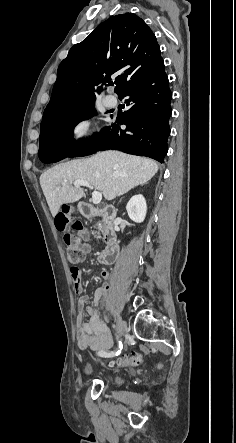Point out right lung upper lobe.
Returning <instances> with one entry per match:
<instances>
[{"instance_id": "1", "label": "right lung upper lobe", "mask_w": 236, "mask_h": 443, "mask_svg": "<svg viewBox=\"0 0 236 443\" xmlns=\"http://www.w3.org/2000/svg\"><path fill=\"white\" fill-rule=\"evenodd\" d=\"M161 59L156 37L147 24L132 13L110 17L84 41L75 44L61 62L43 119L94 102L103 86L112 84L119 95L133 80Z\"/></svg>"}]
</instances>
